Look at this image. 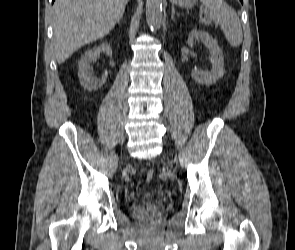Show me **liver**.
I'll return each instance as SVG.
<instances>
[{"instance_id": "6515ba94", "label": "liver", "mask_w": 295, "mask_h": 250, "mask_svg": "<svg viewBox=\"0 0 295 250\" xmlns=\"http://www.w3.org/2000/svg\"><path fill=\"white\" fill-rule=\"evenodd\" d=\"M128 0H56L53 33L59 64L76 50L103 38L123 14Z\"/></svg>"}]
</instances>
